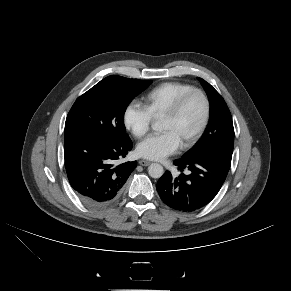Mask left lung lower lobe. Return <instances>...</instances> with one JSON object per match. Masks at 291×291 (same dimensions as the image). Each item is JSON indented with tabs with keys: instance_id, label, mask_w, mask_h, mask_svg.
<instances>
[{
	"instance_id": "0a47b994",
	"label": "left lung lower lobe",
	"mask_w": 291,
	"mask_h": 291,
	"mask_svg": "<svg viewBox=\"0 0 291 291\" xmlns=\"http://www.w3.org/2000/svg\"><path fill=\"white\" fill-rule=\"evenodd\" d=\"M231 159V154L213 151L175 160L186 173L176 177L166 171L156 185L159 196L167 206L183 212L204 207L223 185Z\"/></svg>"
}]
</instances>
